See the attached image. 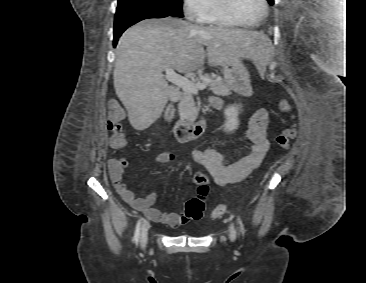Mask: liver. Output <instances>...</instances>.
<instances>
[{
    "label": "liver",
    "instance_id": "1",
    "mask_svg": "<svg viewBox=\"0 0 366 283\" xmlns=\"http://www.w3.org/2000/svg\"><path fill=\"white\" fill-rule=\"evenodd\" d=\"M265 39L253 30L201 27L173 17L133 25L117 44L113 71L114 88L130 124L144 130L163 112L170 92L163 75L166 68L191 73L202 67L206 57L211 67L241 57L258 67L264 59Z\"/></svg>",
    "mask_w": 366,
    "mask_h": 283
}]
</instances>
